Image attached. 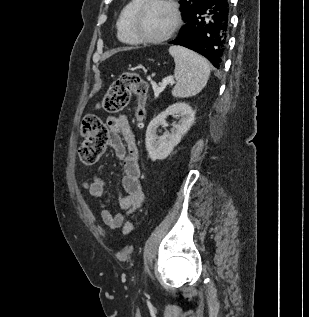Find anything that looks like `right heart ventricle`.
<instances>
[{
  "label": "right heart ventricle",
  "mask_w": 309,
  "mask_h": 317,
  "mask_svg": "<svg viewBox=\"0 0 309 317\" xmlns=\"http://www.w3.org/2000/svg\"><path fill=\"white\" fill-rule=\"evenodd\" d=\"M141 1L142 0H130L124 6L117 19V35L119 40L123 43L131 45L139 43L132 33L130 20L134 10L141 3Z\"/></svg>",
  "instance_id": "obj_1"
}]
</instances>
